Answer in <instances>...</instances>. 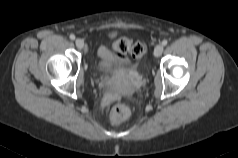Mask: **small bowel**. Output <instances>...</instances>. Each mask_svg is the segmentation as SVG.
Returning <instances> with one entry per match:
<instances>
[{
    "label": "small bowel",
    "mask_w": 238,
    "mask_h": 158,
    "mask_svg": "<svg viewBox=\"0 0 238 158\" xmlns=\"http://www.w3.org/2000/svg\"><path fill=\"white\" fill-rule=\"evenodd\" d=\"M99 55L103 60H113V59H115L105 47H102L100 49Z\"/></svg>",
    "instance_id": "small-bowel-1"
}]
</instances>
